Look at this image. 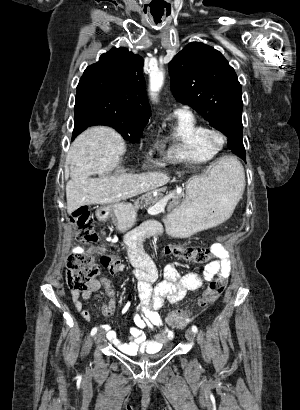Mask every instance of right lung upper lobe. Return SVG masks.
Segmentation results:
<instances>
[{
    "label": "right lung upper lobe",
    "instance_id": "obj_1",
    "mask_svg": "<svg viewBox=\"0 0 300 410\" xmlns=\"http://www.w3.org/2000/svg\"><path fill=\"white\" fill-rule=\"evenodd\" d=\"M143 58L126 48H113L88 66L77 88L102 94L111 113L122 119L145 122L151 116L146 97Z\"/></svg>",
    "mask_w": 300,
    "mask_h": 410
}]
</instances>
